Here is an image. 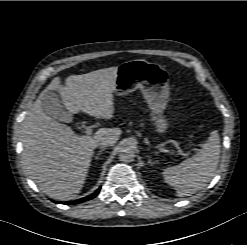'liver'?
<instances>
[{
	"instance_id": "1",
	"label": "liver",
	"mask_w": 247,
	"mask_h": 245,
	"mask_svg": "<svg viewBox=\"0 0 247 245\" xmlns=\"http://www.w3.org/2000/svg\"><path fill=\"white\" fill-rule=\"evenodd\" d=\"M118 67L71 75L61 84L55 77L25 116L22 127V160L30 178L50 198L73 199L85 183L94 149L102 140L113 146L119 128H100L93 136L76 135L42 109L41 99L49 90L58 91L69 114L82 111L100 119H112Z\"/></svg>"
}]
</instances>
